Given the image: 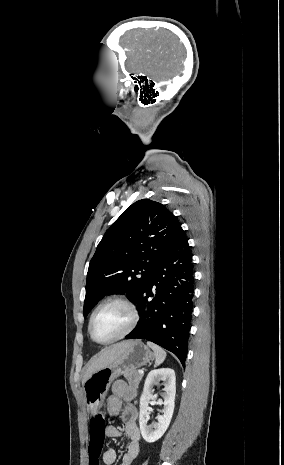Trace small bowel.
Returning <instances> with one entry per match:
<instances>
[{
  "mask_svg": "<svg viewBox=\"0 0 284 465\" xmlns=\"http://www.w3.org/2000/svg\"><path fill=\"white\" fill-rule=\"evenodd\" d=\"M136 398V390L128 386L126 382L117 380L113 383L111 394L107 399V411L111 417L120 415L123 422V430L128 438L125 452L121 459V465H132L140 453V431L137 425L138 411L133 405ZM121 431L116 426L110 425L106 429V435L117 439L121 437ZM117 453L109 449L104 453L105 465H114Z\"/></svg>",
  "mask_w": 284,
  "mask_h": 465,
  "instance_id": "small-bowel-1",
  "label": "small bowel"
}]
</instances>
